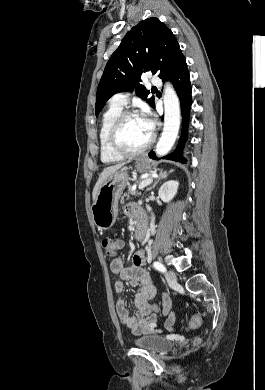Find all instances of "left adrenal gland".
Segmentation results:
<instances>
[{
  "instance_id": "a2214340",
  "label": "left adrenal gland",
  "mask_w": 265,
  "mask_h": 390,
  "mask_svg": "<svg viewBox=\"0 0 265 390\" xmlns=\"http://www.w3.org/2000/svg\"><path fill=\"white\" fill-rule=\"evenodd\" d=\"M168 174L169 173L167 171H160L159 176L157 177L155 182L152 184V186L150 188H148V191L153 189L160 180L167 178Z\"/></svg>"
}]
</instances>
